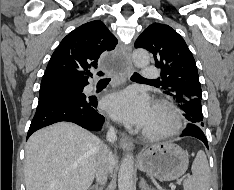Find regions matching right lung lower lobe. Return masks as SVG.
Listing matches in <instances>:
<instances>
[{
	"instance_id": "right-lung-lower-lobe-1",
	"label": "right lung lower lobe",
	"mask_w": 234,
	"mask_h": 190,
	"mask_svg": "<svg viewBox=\"0 0 234 190\" xmlns=\"http://www.w3.org/2000/svg\"><path fill=\"white\" fill-rule=\"evenodd\" d=\"M88 84V76L72 77L40 96L27 139L38 129L60 121L73 122L88 130H101L104 117L97 111L96 98L82 93Z\"/></svg>"
}]
</instances>
